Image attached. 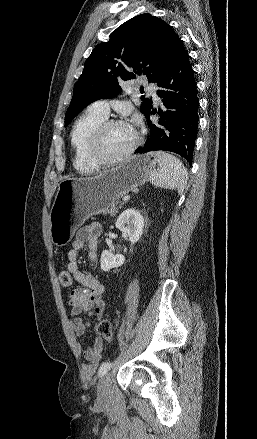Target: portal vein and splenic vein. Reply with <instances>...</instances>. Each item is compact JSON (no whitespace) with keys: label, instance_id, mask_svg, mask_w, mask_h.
Masks as SVG:
<instances>
[{"label":"portal vein and splenic vein","instance_id":"1","mask_svg":"<svg viewBox=\"0 0 257 439\" xmlns=\"http://www.w3.org/2000/svg\"><path fill=\"white\" fill-rule=\"evenodd\" d=\"M130 199V196H124L123 201H128Z\"/></svg>","mask_w":257,"mask_h":439}]
</instances>
